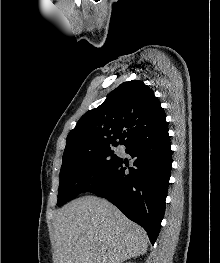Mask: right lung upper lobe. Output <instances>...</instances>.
Instances as JSON below:
<instances>
[{"label":"right lung upper lobe","mask_w":220,"mask_h":263,"mask_svg":"<svg viewBox=\"0 0 220 263\" xmlns=\"http://www.w3.org/2000/svg\"><path fill=\"white\" fill-rule=\"evenodd\" d=\"M167 130L165 112L154 92L142 81L132 80L79 119L67 137L64 154L127 145L140 136L153 138Z\"/></svg>","instance_id":"obj_1"}]
</instances>
